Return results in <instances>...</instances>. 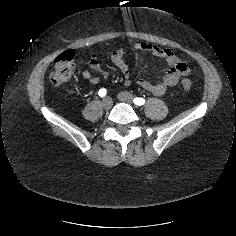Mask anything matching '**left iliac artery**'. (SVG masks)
Listing matches in <instances>:
<instances>
[{
	"label": "left iliac artery",
	"instance_id": "obj_1",
	"mask_svg": "<svg viewBox=\"0 0 236 236\" xmlns=\"http://www.w3.org/2000/svg\"><path fill=\"white\" fill-rule=\"evenodd\" d=\"M133 102H134V104L141 106V105L145 104V99L140 98V97H136V98H134Z\"/></svg>",
	"mask_w": 236,
	"mask_h": 236
}]
</instances>
